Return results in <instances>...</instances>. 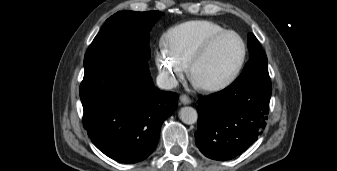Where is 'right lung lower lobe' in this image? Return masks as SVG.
Here are the masks:
<instances>
[{"mask_svg":"<svg viewBox=\"0 0 337 171\" xmlns=\"http://www.w3.org/2000/svg\"><path fill=\"white\" fill-rule=\"evenodd\" d=\"M84 67L80 98L92 143L118 162L146 159L162 123L177 108L178 94L154 87L144 59L114 54Z\"/></svg>","mask_w":337,"mask_h":171,"instance_id":"1","label":"right lung lower lobe"}]
</instances>
